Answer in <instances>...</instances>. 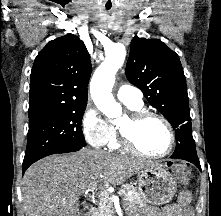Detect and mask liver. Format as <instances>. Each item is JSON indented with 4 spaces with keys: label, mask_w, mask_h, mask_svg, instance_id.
I'll return each mask as SVG.
<instances>
[{
    "label": "liver",
    "mask_w": 221,
    "mask_h": 216,
    "mask_svg": "<svg viewBox=\"0 0 221 216\" xmlns=\"http://www.w3.org/2000/svg\"><path fill=\"white\" fill-rule=\"evenodd\" d=\"M155 165L150 161L82 149L45 157L30 166L22 182L26 216H80L79 197L88 189L101 190L125 182Z\"/></svg>",
    "instance_id": "6515ba94"
}]
</instances>
